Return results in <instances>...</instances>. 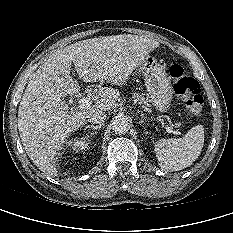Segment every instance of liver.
<instances>
[{
  "instance_id": "6515ba94",
  "label": "liver",
  "mask_w": 233,
  "mask_h": 233,
  "mask_svg": "<svg viewBox=\"0 0 233 233\" xmlns=\"http://www.w3.org/2000/svg\"><path fill=\"white\" fill-rule=\"evenodd\" d=\"M158 46L155 40L132 34L86 39L57 50L39 67L22 96L18 129L27 155L40 171L57 176L58 151L70 134L86 123L92 111H107L119 98L116 89L104 87L93 105L69 109L64 97L80 91L70 75L71 64L85 82L105 80L122 86Z\"/></svg>"
}]
</instances>
